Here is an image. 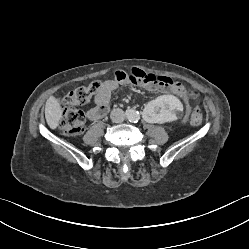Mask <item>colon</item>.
<instances>
[{"label":"colon","mask_w":249,"mask_h":249,"mask_svg":"<svg viewBox=\"0 0 249 249\" xmlns=\"http://www.w3.org/2000/svg\"><path fill=\"white\" fill-rule=\"evenodd\" d=\"M163 83L162 78L144 72L138 85L156 89ZM103 82L95 81L88 86L78 87L61 98L62 116L59 122L61 133L67 137H74L81 134L85 129V117L82 111L76 108L77 105L85 104L92 95L97 94L102 88ZM182 85V84H180ZM188 97L195 102L198 98L197 91L189 89L186 91ZM192 125L198 126L203 122V116L199 107L194 103L190 116Z\"/></svg>","instance_id":"1"}]
</instances>
